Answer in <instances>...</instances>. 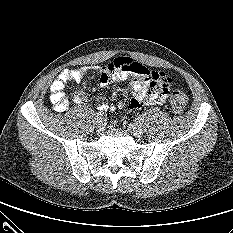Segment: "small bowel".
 I'll return each mask as SVG.
<instances>
[{
    "label": "small bowel",
    "mask_w": 233,
    "mask_h": 233,
    "mask_svg": "<svg viewBox=\"0 0 233 233\" xmlns=\"http://www.w3.org/2000/svg\"><path fill=\"white\" fill-rule=\"evenodd\" d=\"M139 66L144 67L129 57H118L95 68L64 69L50 86L51 100L58 110H64L67 105L65 94L67 83L70 81L80 83L88 73H96L102 87L117 84L128 78L133 79L125 93V98L117 105L119 110H133L144 105L163 104L169 95L173 79L163 72L150 70L148 77H141L135 71ZM90 101V96L83 93L76 97V102L89 103ZM107 108L106 104L99 106V110L102 111Z\"/></svg>",
    "instance_id": "small-bowel-1"
}]
</instances>
